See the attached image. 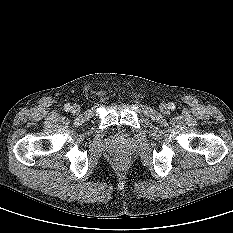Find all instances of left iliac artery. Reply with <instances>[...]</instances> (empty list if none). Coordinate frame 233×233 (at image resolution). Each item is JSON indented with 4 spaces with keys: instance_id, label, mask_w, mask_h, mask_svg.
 Returning a JSON list of instances; mask_svg holds the SVG:
<instances>
[{
    "instance_id": "obj_1",
    "label": "left iliac artery",
    "mask_w": 233,
    "mask_h": 233,
    "mask_svg": "<svg viewBox=\"0 0 233 233\" xmlns=\"http://www.w3.org/2000/svg\"><path fill=\"white\" fill-rule=\"evenodd\" d=\"M168 108L171 110L175 109V104L174 103H169Z\"/></svg>"
}]
</instances>
